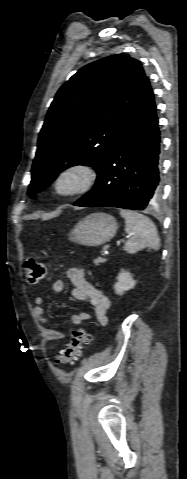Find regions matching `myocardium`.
<instances>
[{
  "mask_svg": "<svg viewBox=\"0 0 187 479\" xmlns=\"http://www.w3.org/2000/svg\"><path fill=\"white\" fill-rule=\"evenodd\" d=\"M95 169L86 163H72L62 168L53 178L50 189L54 196L72 198L88 192L96 182Z\"/></svg>",
  "mask_w": 187,
  "mask_h": 479,
  "instance_id": "f54148a6",
  "label": "myocardium"
}]
</instances>
